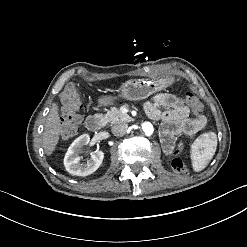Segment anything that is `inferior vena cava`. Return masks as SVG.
I'll use <instances>...</instances> for the list:
<instances>
[{"label":"inferior vena cava","instance_id":"1","mask_svg":"<svg viewBox=\"0 0 247 247\" xmlns=\"http://www.w3.org/2000/svg\"><path fill=\"white\" fill-rule=\"evenodd\" d=\"M127 129H128L127 123L119 122L112 126L111 131L115 136H122L126 133Z\"/></svg>","mask_w":247,"mask_h":247}]
</instances>
